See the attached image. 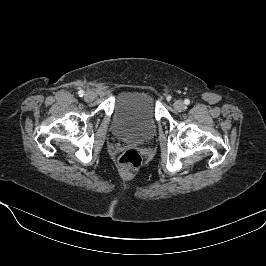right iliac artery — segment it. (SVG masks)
Instances as JSON below:
<instances>
[{
    "label": "right iliac artery",
    "mask_w": 266,
    "mask_h": 266,
    "mask_svg": "<svg viewBox=\"0 0 266 266\" xmlns=\"http://www.w3.org/2000/svg\"><path fill=\"white\" fill-rule=\"evenodd\" d=\"M78 95H79L80 97H82V96L84 95V91H83V90L78 91Z\"/></svg>",
    "instance_id": "82829eb1"
}]
</instances>
